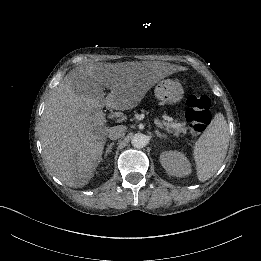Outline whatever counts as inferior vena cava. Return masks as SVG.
<instances>
[{"mask_svg": "<svg viewBox=\"0 0 261 261\" xmlns=\"http://www.w3.org/2000/svg\"><path fill=\"white\" fill-rule=\"evenodd\" d=\"M126 130H127V128L123 125L112 127L109 130L108 137L111 140H116V139L120 138L121 136H123Z\"/></svg>", "mask_w": 261, "mask_h": 261, "instance_id": "602c4592", "label": "inferior vena cava"}]
</instances>
